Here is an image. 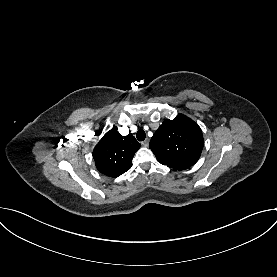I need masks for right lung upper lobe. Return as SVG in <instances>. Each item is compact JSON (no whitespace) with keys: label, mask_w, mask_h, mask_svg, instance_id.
Wrapping results in <instances>:
<instances>
[{"label":"right lung upper lobe","mask_w":277,"mask_h":277,"mask_svg":"<svg viewBox=\"0 0 277 277\" xmlns=\"http://www.w3.org/2000/svg\"><path fill=\"white\" fill-rule=\"evenodd\" d=\"M140 144L133 136H122L111 129L96 145L93 158L99 172L110 177H118L132 166V159Z\"/></svg>","instance_id":"cb5924a9"}]
</instances>
